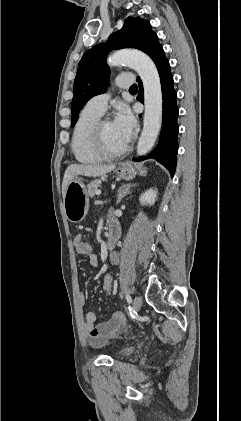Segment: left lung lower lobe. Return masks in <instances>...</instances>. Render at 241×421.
I'll use <instances>...</instances> for the list:
<instances>
[{
    "label": "left lung lower lobe",
    "instance_id": "left-lung-lower-lobe-1",
    "mask_svg": "<svg viewBox=\"0 0 241 421\" xmlns=\"http://www.w3.org/2000/svg\"><path fill=\"white\" fill-rule=\"evenodd\" d=\"M145 53L152 58L160 75L163 96L162 130L159 142L154 150L147 156H140L134 159V161L153 158L164 165L173 177L176 168L178 151L177 134L179 131L177 125V94L173 88V76L170 72L169 61L165 57L164 50L159 44L157 35L151 40ZM137 81L139 83V94H142L143 85L139 77Z\"/></svg>",
    "mask_w": 241,
    "mask_h": 421
}]
</instances>
